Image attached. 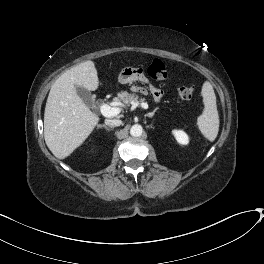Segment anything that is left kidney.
I'll list each match as a JSON object with an SVG mask.
<instances>
[{"instance_id":"1","label":"left kidney","mask_w":264,"mask_h":264,"mask_svg":"<svg viewBox=\"0 0 264 264\" xmlns=\"http://www.w3.org/2000/svg\"><path fill=\"white\" fill-rule=\"evenodd\" d=\"M172 134L174 135L178 143L183 145H187L189 143V137L184 131L174 129L172 130Z\"/></svg>"}]
</instances>
